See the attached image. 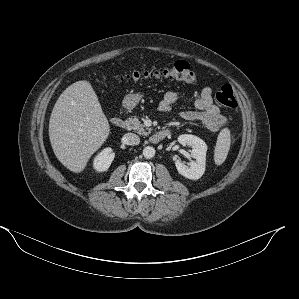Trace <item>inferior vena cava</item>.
I'll list each match as a JSON object with an SVG mask.
<instances>
[{"label":"inferior vena cava","instance_id":"obj_1","mask_svg":"<svg viewBox=\"0 0 299 299\" xmlns=\"http://www.w3.org/2000/svg\"><path fill=\"white\" fill-rule=\"evenodd\" d=\"M124 142L127 145H138L140 143V138L134 133H127L124 135Z\"/></svg>","mask_w":299,"mask_h":299}]
</instances>
